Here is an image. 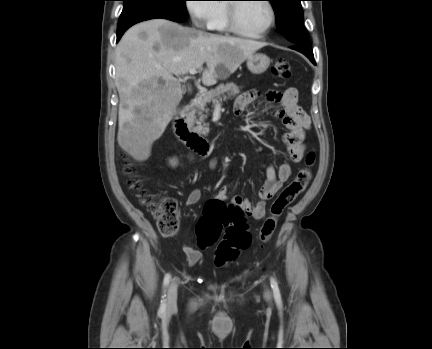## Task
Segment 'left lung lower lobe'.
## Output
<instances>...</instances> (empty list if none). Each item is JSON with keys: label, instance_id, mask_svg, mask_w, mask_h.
Here are the masks:
<instances>
[{"label": "left lung lower lobe", "instance_id": "left-lung-lower-lobe-1", "mask_svg": "<svg viewBox=\"0 0 432 349\" xmlns=\"http://www.w3.org/2000/svg\"><path fill=\"white\" fill-rule=\"evenodd\" d=\"M291 48L294 49V50H297V51H299V52H301L303 54H305L310 59V61L313 64L316 65V62H315L314 56H313V52L311 50V46H307V45H295V46H293Z\"/></svg>", "mask_w": 432, "mask_h": 349}]
</instances>
